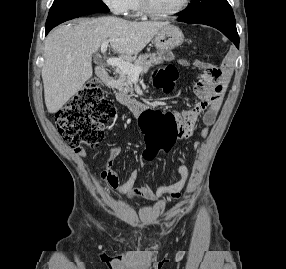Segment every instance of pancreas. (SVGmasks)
Returning <instances> with one entry per match:
<instances>
[{
  "label": "pancreas",
  "mask_w": 286,
  "mask_h": 269,
  "mask_svg": "<svg viewBox=\"0 0 286 269\" xmlns=\"http://www.w3.org/2000/svg\"><path fill=\"white\" fill-rule=\"evenodd\" d=\"M160 63H162L161 58L155 54H144L140 55L133 65L139 67L141 69V74H144L147 73L151 67ZM112 86L117 90L116 97L122 103L133 95L134 89L132 77L120 69L116 71V78L113 80Z\"/></svg>",
  "instance_id": "pancreas-1"
}]
</instances>
